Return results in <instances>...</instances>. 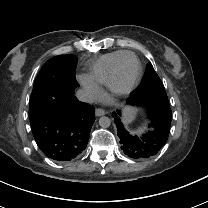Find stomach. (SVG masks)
Returning a JSON list of instances; mask_svg holds the SVG:
<instances>
[{
  "label": "stomach",
  "instance_id": "1",
  "mask_svg": "<svg viewBox=\"0 0 208 208\" xmlns=\"http://www.w3.org/2000/svg\"><path fill=\"white\" fill-rule=\"evenodd\" d=\"M136 117V113L133 110H128L125 113V123L129 124Z\"/></svg>",
  "mask_w": 208,
  "mask_h": 208
}]
</instances>
